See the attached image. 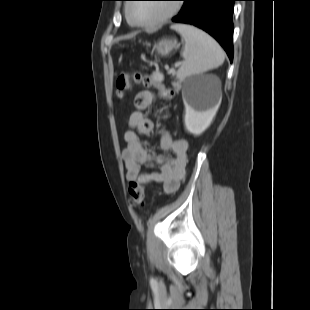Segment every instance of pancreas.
Segmentation results:
<instances>
[{
  "label": "pancreas",
  "mask_w": 310,
  "mask_h": 310,
  "mask_svg": "<svg viewBox=\"0 0 310 310\" xmlns=\"http://www.w3.org/2000/svg\"><path fill=\"white\" fill-rule=\"evenodd\" d=\"M172 75L174 76V75H175V72H172ZM180 83H181V81L179 80V81H177V82H173L172 85H173V87H174L176 90H178V89L180 88Z\"/></svg>",
  "instance_id": "cf45deb5"
}]
</instances>
